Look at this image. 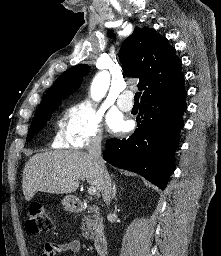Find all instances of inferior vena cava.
<instances>
[{
	"mask_svg": "<svg viewBox=\"0 0 221 256\" xmlns=\"http://www.w3.org/2000/svg\"><path fill=\"white\" fill-rule=\"evenodd\" d=\"M101 136L93 137L90 146H89V154L93 157L99 171H100V189L102 192L103 199L107 205L111 202V179L106 170L104 161L101 156Z\"/></svg>",
	"mask_w": 221,
	"mask_h": 256,
	"instance_id": "602c4592",
	"label": "inferior vena cava"
}]
</instances>
